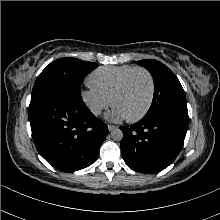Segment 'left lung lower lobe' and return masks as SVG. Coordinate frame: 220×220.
<instances>
[{"label":"left lung lower lobe","instance_id":"obj_1","mask_svg":"<svg viewBox=\"0 0 220 220\" xmlns=\"http://www.w3.org/2000/svg\"><path fill=\"white\" fill-rule=\"evenodd\" d=\"M188 123L171 115H155L122 126L121 152L132 170L152 174L168 167L182 149Z\"/></svg>","mask_w":220,"mask_h":220}]
</instances>
